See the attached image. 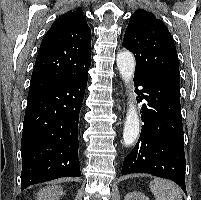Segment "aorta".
Instances as JSON below:
<instances>
[{"mask_svg": "<svg viewBox=\"0 0 201 200\" xmlns=\"http://www.w3.org/2000/svg\"><path fill=\"white\" fill-rule=\"evenodd\" d=\"M116 62L124 82L129 84L133 80L135 71V59L133 54L129 51L119 52L116 57ZM139 130V116L133 98L130 95V102L123 130V141L126 146H130L135 142L139 135Z\"/></svg>", "mask_w": 201, "mask_h": 200, "instance_id": "762f6f07", "label": "aorta"}]
</instances>
